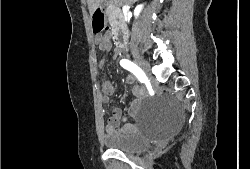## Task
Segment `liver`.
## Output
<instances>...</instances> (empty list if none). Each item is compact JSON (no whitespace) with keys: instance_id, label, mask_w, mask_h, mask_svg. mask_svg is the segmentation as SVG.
Returning <instances> with one entry per match:
<instances>
[{"instance_id":"6515ba94","label":"liver","mask_w":250,"mask_h":169,"mask_svg":"<svg viewBox=\"0 0 250 169\" xmlns=\"http://www.w3.org/2000/svg\"><path fill=\"white\" fill-rule=\"evenodd\" d=\"M102 2H108V0H87L90 14H93L94 10H96L97 6H100ZM114 2L119 4V6H122L124 2H127V4H133V2H136V0H114Z\"/></svg>"}]
</instances>
